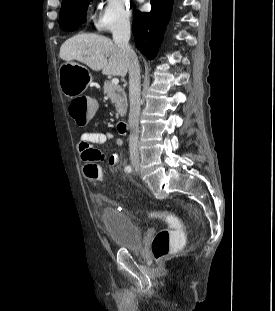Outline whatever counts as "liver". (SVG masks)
Segmentation results:
<instances>
[{
    "mask_svg": "<svg viewBox=\"0 0 275 311\" xmlns=\"http://www.w3.org/2000/svg\"><path fill=\"white\" fill-rule=\"evenodd\" d=\"M61 59L70 62L77 60L93 71L104 75L124 78L129 71L131 58L108 37L81 33L67 39L60 47Z\"/></svg>",
    "mask_w": 275,
    "mask_h": 311,
    "instance_id": "6515ba94",
    "label": "liver"
}]
</instances>
